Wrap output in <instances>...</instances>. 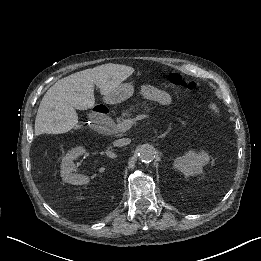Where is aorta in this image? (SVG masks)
I'll return each mask as SVG.
<instances>
[{
	"label": "aorta",
	"mask_w": 261,
	"mask_h": 261,
	"mask_svg": "<svg viewBox=\"0 0 261 261\" xmlns=\"http://www.w3.org/2000/svg\"><path fill=\"white\" fill-rule=\"evenodd\" d=\"M138 157L142 162L150 163L155 159L156 149L151 144H143L137 147Z\"/></svg>",
	"instance_id": "1"
}]
</instances>
